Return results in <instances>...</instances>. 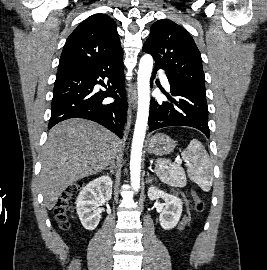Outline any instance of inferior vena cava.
I'll return each mask as SVG.
<instances>
[{"mask_svg":"<svg viewBox=\"0 0 267 270\" xmlns=\"http://www.w3.org/2000/svg\"><path fill=\"white\" fill-rule=\"evenodd\" d=\"M116 151H118V149H117V150H114L113 156H112L113 159L115 158V153H116Z\"/></svg>","mask_w":267,"mask_h":270,"instance_id":"inferior-vena-cava-1","label":"inferior vena cava"}]
</instances>
